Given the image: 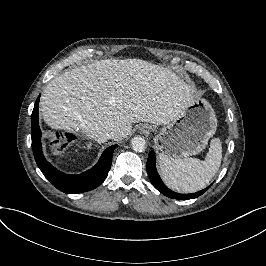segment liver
<instances>
[{
    "instance_id": "6515ba94",
    "label": "liver",
    "mask_w": 266,
    "mask_h": 266,
    "mask_svg": "<svg viewBox=\"0 0 266 266\" xmlns=\"http://www.w3.org/2000/svg\"><path fill=\"white\" fill-rule=\"evenodd\" d=\"M191 94L168 69L139 59H106L52 79L40 105L54 129L81 130L91 139L113 130L111 139L120 141L132 123L169 124L194 102Z\"/></svg>"
}]
</instances>
